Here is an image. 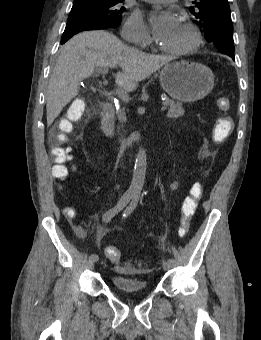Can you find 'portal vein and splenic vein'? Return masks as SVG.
I'll list each match as a JSON object with an SVG mask.
<instances>
[{"mask_svg":"<svg viewBox=\"0 0 261 340\" xmlns=\"http://www.w3.org/2000/svg\"><path fill=\"white\" fill-rule=\"evenodd\" d=\"M101 73L103 74H107L108 73V67L107 66H102L101 68L98 69ZM117 95L120 99H122L123 101H128L129 100V95L127 94V92L122 91V90H117ZM167 109V107L165 105H163L161 107L162 111H165Z\"/></svg>","mask_w":261,"mask_h":340,"instance_id":"portal-vein-and-splenic-vein-1","label":"portal vein and splenic vein"}]
</instances>
